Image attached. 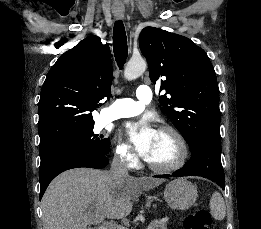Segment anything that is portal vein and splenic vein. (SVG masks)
<instances>
[{"label": "portal vein and splenic vein", "instance_id": "1", "mask_svg": "<svg viewBox=\"0 0 261 229\" xmlns=\"http://www.w3.org/2000/svg\"><path fill=\"white\" fill-rule=\"evenodd\" d=\"M154 227H155V221L150 220L149 227H147V229H153ZM98 229H116V227H114L113 223H111L110 221V223H103V227H98ZM120 229H124V227H120Z\"/></svg>", "mask_w": 261, "mask_h": 229}]
</instances>
